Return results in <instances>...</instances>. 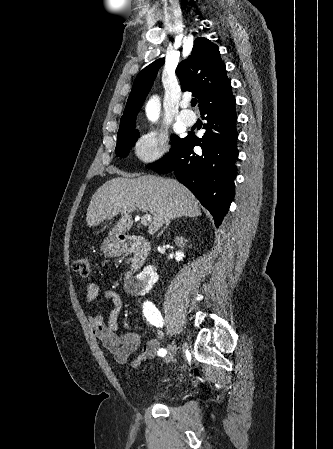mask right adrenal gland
Instances as JSON below:
<instances>
[{"label":"right adrenal gland","instance_id":"1","mask_svg":"<svg viewBox=\"0 0 333 449\" xmlns=\"http://www.w3.org/2000/svg\"><path fill=\"white\" fill-rule=\"evenodd\" d=\"M170 224V221L166 223V226L164 227V229ZM163 229V230H164ZM163 230L161 232H163Z\"/></svg>","mask_w":333,"mask_h":449}]
</instances>
